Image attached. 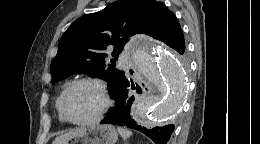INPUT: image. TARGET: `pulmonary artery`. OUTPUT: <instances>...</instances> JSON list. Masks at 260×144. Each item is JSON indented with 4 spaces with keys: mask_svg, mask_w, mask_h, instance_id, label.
Instances as JSON below:
<instances>
[{
    "mask_svg": "<svg viewBox=\"0 0 260 144\" xmlns=\"http://www.w3.org/2000/svg\"><path fill=\"white\" fill-rule=\"evenodd\" d=\"M120 62H121V64H122L124 67H126V64H125V62H124L123 60H120Z\"/></svg>",
    "mask_w": 260,
    "mask_h": 144,
    "instance_id": "obj_1",
    "label": "pulmonary artery"
}]
</instances>
